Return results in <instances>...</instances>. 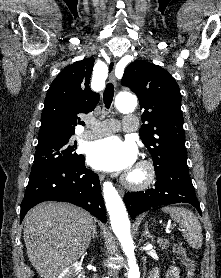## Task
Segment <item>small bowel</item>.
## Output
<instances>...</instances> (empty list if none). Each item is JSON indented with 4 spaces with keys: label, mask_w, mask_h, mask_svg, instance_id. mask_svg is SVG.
Returning <instances> with one entry per match:
<instances>
[{
    "label": "small bowel",
    "mask_w": 221,
    "mask_h": 278,
    "mask_svg": "<svg viewBox=\"0 0 221 278\" xmlns=\"http://www.w3.org/2000/svg\"><path fill=\"white\" fill-rule=\"evenodd\" d=\"M179 276H180V272L178 267L172 266L169 268L166 278H179Z\"/></svg>",
    "instance_id": "small-bowel-1"
}]
</instances>
